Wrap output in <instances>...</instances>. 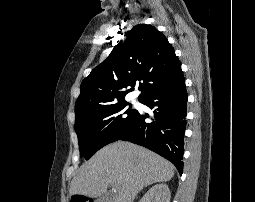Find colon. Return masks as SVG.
<instances>
[{"label":"colon","instance_id":"5ec220e1","mask_svg":"<svg viewBox=\"0 0 255 202\" xmlns=\"http://www.w3.org/2000/svg\"><path fill=\"white\" fill-rule=\"evenodd\" d=\"M71 202H88V199L83 197H75L71 199Z\"/></svg>","mask_w":255,"mask_h":202}]
</instances>
